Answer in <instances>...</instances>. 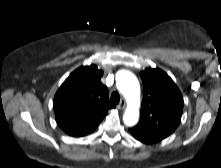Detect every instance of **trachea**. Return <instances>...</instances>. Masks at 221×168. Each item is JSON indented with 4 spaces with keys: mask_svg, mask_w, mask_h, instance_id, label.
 Here are the masks:
<instances>
[{
    "mask_svg": "<svg viewBox=\"0 0 221 168\" xmlns=\"http://www.w3.org/2000/svg\"><path fill=\"white\" fill-rule=\"evenodd\" d=\"M120 101V95L118 92H113L111 95V102L114 104H118Z\"/></svg>",
    "mask_w": 221,
    "mask_h": 168,
    "instance_id": "obj_1",
    "label": "trachea"
}]
</instances>
